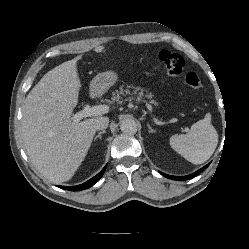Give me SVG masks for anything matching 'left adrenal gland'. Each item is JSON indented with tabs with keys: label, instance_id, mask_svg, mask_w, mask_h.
Instances as JSON below:
<instances>
[{
	"label": "left adrenal gland",
	"instance_id": "1",
	"mask_svg": "<svg viewBox=\"0 0 249 249\" xmlns=\"http://www.w3.org/2000/svg\"><path fill=\"white\" fill-rule=\"evenodd\" d=\"M148 129L150 133H155L156 131L152 129V127L150 126V124L147 123Z\"/></svg>",
	"mask_w": 249,
	"mask_h": 249
}]
</instances>
